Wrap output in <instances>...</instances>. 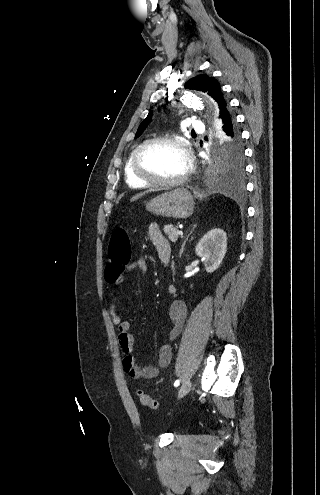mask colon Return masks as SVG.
<instances>
[{
  "instance_id": "5ec220e1",
  "label": "colon",
  "mask_w": 320,
  "mask_h": 495,
  "mask_svg": "<svg viewBox=\"0 0 320 495\" xmlns=\"http://www.w3.org/2000/svg\"><path fill=\"white\" fill-rule=\"evenodd\" d=\"M108 264L106 277L116 279L127 267L131 259V242L128 232L124 228H116L109 239L107 246ZM142 405L156 410L158 402L142 390L137 392Z\"/></svg>"
}]
</instances>
